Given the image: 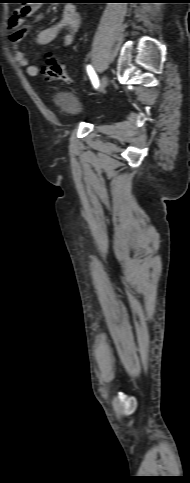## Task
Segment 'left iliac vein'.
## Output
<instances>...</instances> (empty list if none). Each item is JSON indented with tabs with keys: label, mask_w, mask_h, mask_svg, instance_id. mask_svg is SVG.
Listing matches in <instances>:
<instances>
[{
	"label": "left iliac vein",
	"mask_w": 190,
	"mask_h": 483,
	"mask_svg": "<svg viewBox=\"0 0 190 483\" xmlns=\"http://www.w3.org/2000/svg\"><path fill=\"white\" fill-rule=\"evenodd\" d=\"M108 84V76L106 74L102 75L101 79H100V83H99V89L100 91H104V89L106 88Z\"/></svg>",
	"instance_id": "left-iliac-vein-1"
}]
</instances>
